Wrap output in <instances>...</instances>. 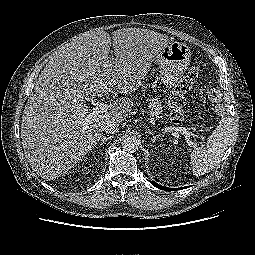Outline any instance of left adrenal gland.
Listing matches in <instances>:
<instances>
[{
    "label": "left adrenal gland",
    "instance_id": "1",
    "mask_svg": "<svg viewBox=\"0 0 255 255\" xmlns=\"http://www.w3.org/2000/svg\"><path fill=\"white\" fill-rule=\"evenodd\" d=\"M148 133H149L150 135H152V138H153V139H152V142H153V143L156 141L157 138L162 137V135H160V134L155 135L154 132H152L150 129H148Z\"/></svg>",
    "mask_w": 255,
    "mask_h": 255
}]
</instances>
